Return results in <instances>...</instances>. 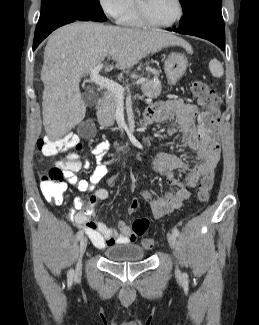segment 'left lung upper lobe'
<instances>
[{
    "label": "left lung upper lobe",
    "mask_w": 259,
    "mask_h": 325,
    "mask_svg": "<svg viewBox=\"0 0 259 325\" xmlns=\"http://www.w3.org/2000/svg\"><path fill=\"white\" fill-rule=\"evenodd\" d=\"M184 12V18L179 22L185 26L203 12H221L222 0H179Z\"/></svg>",
    "instance_id": "obj_1"
}]
</instances>
